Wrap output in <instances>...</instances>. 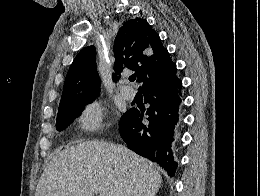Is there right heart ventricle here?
Masks as SVG:
<instances>
[{
  "mask_svg": "<svg viewBox=\"0 0 260 196\" xmlns=\"http://www.w3.org/2000/svg\"><path fill=\"white\" fill-rule=\"evenodd\" d=\"M64 192H84V190H64Z\"/></svg>",
  "mask_w": 260,
  "mask_h": 196,
  "instance_id": "e07e8e85",
  "label": "right heart ventricle"
}]
</instances>
